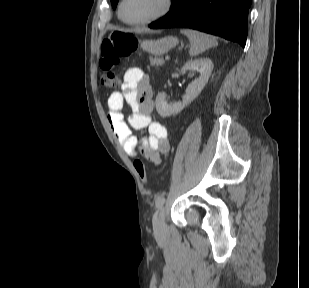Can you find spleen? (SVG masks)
Wrapping results in <instances>:
<instances>
[{
    "mask_svg": "<svg viewBox=\"0 0 309 288\" xmlns=\"http://www.w3.org/2000/svg\"><path fill=\"white\" fill-rule=\"evenodd\" d=\"M181 33L186 35L190 41L189 55L195 57L207 49L217 46L218 42L215 37L203 32L192 29H183Z\"/></svg>",
    "mask_w": 309,
    "mask_h": 288,
    "instance_id": "3e777b00",
    "label": "spleen"
}]
</instances>
